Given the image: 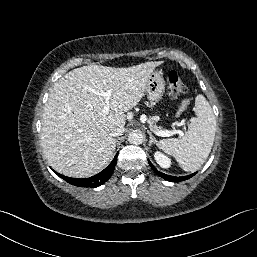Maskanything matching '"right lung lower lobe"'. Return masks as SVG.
I'll return each mask as SVG.
<instances>
[{
  "instance_id": "1",
  "label": "right lung lower lobe",
  "mask_w": 257,
  "mask_h": 257,
  "mask_svg": "<svg viewBox=\"0 0 257 257\" xmlns=\"http://www.w3.org/2000/svg\"><path fill=\"white\" fill-rule=\"evenodd\" d=\"M117 156H118V153L116 154L113 161L110 163V165L107 168H105L103 171H101L97 175L90 178L76 179V178H71V177L61 175L57 172L55 173L59 177H61L62 179H64L65 181H67L72 185L79 186V187H97L105 183L113 174L114 168L117 163Z\"/></svg>"
}]
</instances>
